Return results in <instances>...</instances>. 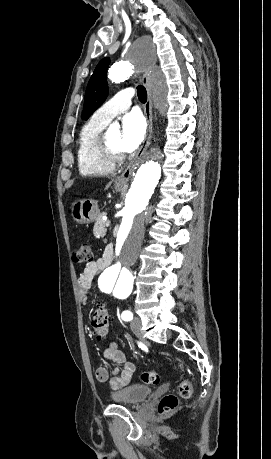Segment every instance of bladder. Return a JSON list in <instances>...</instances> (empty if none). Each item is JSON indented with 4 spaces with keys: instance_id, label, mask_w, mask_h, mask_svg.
Here are the masks:
<instances>
[{
    "instance_id": "31cf9c89",
    "label": "bladder",
    "mask_w": 271,
    "mask_h": 459,
    "mask_svg": "<svg viewBox=\"0 0 271 459\" xmlns=\"http://www.w3.org/2000/svg\"><path fill=\"white\" fill-rule=\"evenodd\" d=\"M152 394L151 385H130L124 389L111 393V398L117 399L119 404H138Z\"/></svg>"
}]
</instances>
